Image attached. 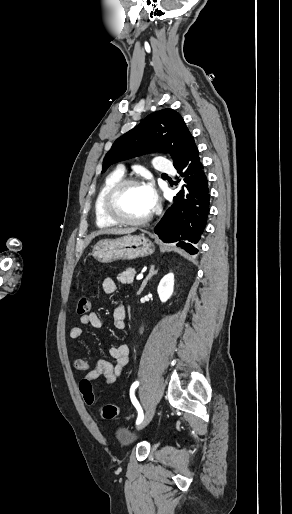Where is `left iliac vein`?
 I'll list each match as a JSON object with an SVG mask.
<instances>
[{
	"label": "left iliac vein",
	"instance_id": "1",
	"mask_svg": "<svg viewBox=\"0 0 292 514\" xmlns=\"http://www.w3.org/2000/svg\"><path fill=\"white\" fill-rule=\"evenodd\" d=\"M155 413V406L150 405L148 406L143 421L141 422L140 426L138 427V431L142 430L152 419L153 415Z\"/></svg>",
	"mask_w": 292,
	"mask_h": 514
}]
</instances>
